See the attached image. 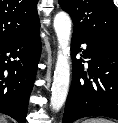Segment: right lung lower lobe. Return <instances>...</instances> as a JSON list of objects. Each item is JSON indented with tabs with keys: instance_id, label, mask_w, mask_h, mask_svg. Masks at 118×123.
Listing matches in <instances>:
<instances>
[{
	"instance_id": "1",
	"label": "right lung lower lobe",
	"mask_w": 118,
	"mask_h": 123,
	"mask_svg": "<svg viewBox=\"0 0 118 123\" xmlns=\"http://www.w3.org/2000/svg\"><path fill=\"white\" fill-rule=\"evenodd\" d=\"M41 52L39 30L0 44V113L26 123L28 101Z\"/></svg>"
}]
</instances>
